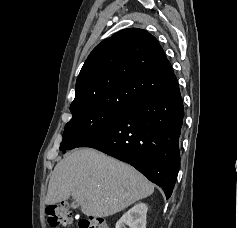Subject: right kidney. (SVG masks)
I'll return each mask as SVG.
<instances>
[{
    "instance_id": "1",
    "label": "right kidney",
    "mask_w": 238,
    "mask_h": 228,
    "mask_svg": "<svg viewBox=\"0 0 238 228\" xmlns=\"http://www.w3.org/2000/svg\"><path fill=\"white\" fill-rule=\"evenodd\" d=\"M147 205L136 204L129 209L116 223V228H146Z\"/></svg>"
}]
</instances>
